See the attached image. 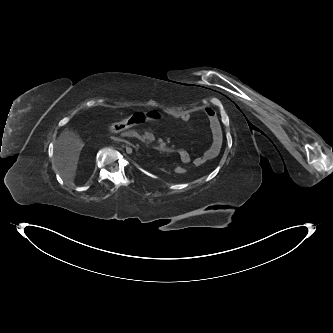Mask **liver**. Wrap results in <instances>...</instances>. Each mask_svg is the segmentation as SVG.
<instances>
[{"mask_svg": "<svg viewBox=\"0 0 333 333\" xmlns=\"http://www.w3.org/2000/svg\"><path fill=\"white\" fill-rule=\"evenodd\" d=\"M84 142L80 136L68 129H65L55 145L53 162L61 177L70 185H73L78 168V161Z\"/></svg>", "mask_w": 333, "mask_h": 333, "instance_id": "obj_1", "label": "liver"}]
</instances>
